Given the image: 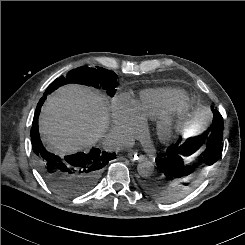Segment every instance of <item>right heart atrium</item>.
<instances>
[{
    "label": "right heart atrium",
    "instance_id": "d8ad5b80",
    "mask_svg": "<svg viewBox=\"0 0 245 245\" xmlns=\"http://www.w3.org/2000/svg\"><path fill=\"white\" fill-rule=\"evenodd\" d=\"M112 135L115 140L128 143L138 137L145 128L136 103L127 95L115 96L111 102Z\"/></svg>",
    "mask_w": 245,
    "mask_h": 245
}]
</instances>
